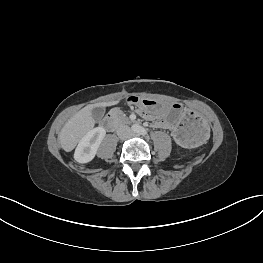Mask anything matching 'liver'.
Masks as SVG:
<instances>
[{
    "instance_id": "1",
    "label": "liver",
    "mask_w": 263,
    "mask_h": 263,
    "mask_svg": "<svg viewBox=\"0 0 263 263\" xmlns=\"http://www.w3.org/2000/svg\"><path fill=\"white\" fill-rule=\"evenodd\" d=\"M119 101L102 102L87 105L70 118L62 128L59 139L62 149L72 151L77 143L94 127L96 121L92 116L95 107H106L118 104Z\"/></svg>"
}]
</instances>
